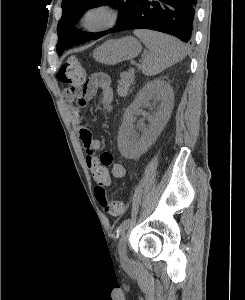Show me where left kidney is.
Masks as SVG:
<instances>
[{"label": "left kidney", "mask_w": 245, "mask_h": 300, "mask_svg": "<svg viewBox=\"0 0 245 300\" xmlns=\"http://www.w3.org/2000/svg\"><path fill=\"white\" fill-rule=\"evenodd\" d=\"M174 93L170 85L161 79L147 83L136 95L133 103L125 110L119 131L118 147L122 155H140L157 137L166 124L173 106ZM153 100L154 113L148 116L149 127L140 128L141 135L133 126L134 114Z\"/></svg>", "instance_id": "obj_1"}]
</instances>
